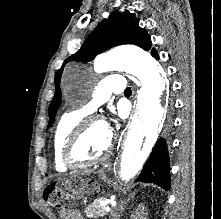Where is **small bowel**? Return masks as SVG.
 Listing matches in <instances>:
<instances>
[{
    "label": "small bowel",
    "instance_id": "obj_1",
    "mask_svg": "<svg viewBox=\"0 0 221 219\" xmlns=\"http://www.w3.org/2000/svg\"><path fill=\"white\" fill-rule=\"evenodd\" d=\"M63 219H84V218L81 216V214L78 211L72 210L63 213Z\"/></svg>",
    "mask_w": 221,
    "mask_h": 219
}]
</instances>
